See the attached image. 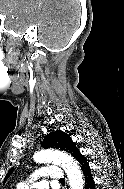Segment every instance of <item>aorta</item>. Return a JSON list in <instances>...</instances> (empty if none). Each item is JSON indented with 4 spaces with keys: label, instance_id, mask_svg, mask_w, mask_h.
<instances>
[{
    "label": "aorta",
    "instance_id": "1",
    "mask_svg": "<svg viewBox=\"0 0 124 189\" xmlns=\"http://www.w3.org/2000/svg\"><path fill=\"white\" fill-rule=\"evenodd\" d=\"M33 159L37 163H54L61 165L65 170L70 189H83V176L77 162L69 155L56 150H42L34 154Z\"/></svg>",
    "mask_w": 124,
    "mask_h": 189
}]
</instances>
